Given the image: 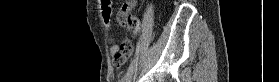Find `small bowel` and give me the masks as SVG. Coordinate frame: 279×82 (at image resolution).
<instances>
[{
	"label": "small bowel",
	"instance_id": "c3829d8e",
	"mask_svg": "<svg viewBox=\"0 0 279 82\" xmlns=\"http://www.w3.org/2000/svg\"><path fill=\"white\" fill-rule=\"evenodd\" d=\"M103 19L109 26L111 20V6L109 4L103 6ZM112 45L110 46L109 52L114 59V67L119 68L127 61L126 48L131 46L127 39H124L121 43H117L113 38L111 39Z\"/></svg>",
	"mask_w": 279,
	"mask_h": 82
}]
</instances>
